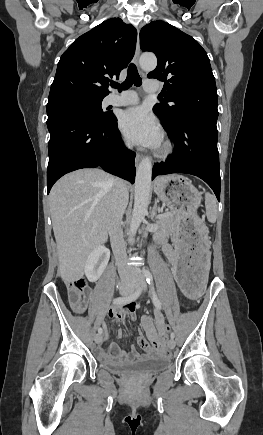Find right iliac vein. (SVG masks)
Masks as SVG:
<instances>
[{
    "label": "right iliac vein",
    "mask_w": 263,
    "mask_h": 435,
    "mask_svg": "<svg viewBox=\"0 0 263 435\" xmlns=\"http://www.w3.org/2000/svg\"><path fill=\"white\" fill-rule=\"evenodd\" d=\"M131 292H132V288H130V287H122L120 289V293L122 295H125V296L130 294ZM94 340H95V343L100 344L102 342V335H101V333L96 334L95 337H94Z\"/></svg>",
    "instance_id": "obj_1"
}]
</instances>
